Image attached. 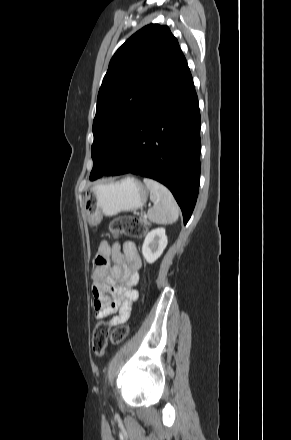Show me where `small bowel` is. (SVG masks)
<instances>
[{"instance_id": "small-bowel-1", "label": "small bowel", "mask_w": 291, "mask_h": 440, "mask_svg": "<svg viewBox=\"0 0 291 440\" xmlns=\"http://www.w3.org/2000/svg\"><path fill=\"white\" fill-rule=\"evenodd\" d=\"M139 268L140 258L134 242H125L122 250L105 240L100 242L91 274L93 307L97 319L117 313L110 321L111 326L128 320L132 305L139 297L136 289ZM106 292H110V295H106Z\"/></svg>"}]
</instances>
